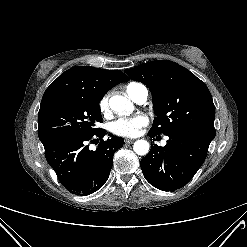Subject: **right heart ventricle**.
<instances>
[{"mask_svg":"<svg viewBox=\"0 0 247 247\" xmlns=\"http://www.w3.org/2000/svg\"><path fill=\"white\" fill-rule=\"evenodd\" d=\"M139 83H130L128 86H127V90H129L130 88H133L135 87L136 85H138Z\"/></svg>","mask_w":247,"mask_h":247,"instance_id":"obj_1","label":"right heart ventricle"}]
</instances>
